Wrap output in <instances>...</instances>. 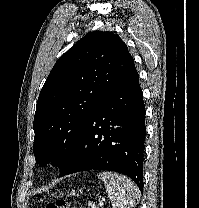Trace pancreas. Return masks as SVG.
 <instances>
[{
    "label": "pancreas",
    "instance_id": "obj_1",
    "mask_svg": "<svg viewBox=\"0 0 199 208\" xmlns=\"http://www.w3.org/2000/svg\"><path fill=\"white\" fill-rule=\"evenodd\" d=\"M91 208H99L98 206L92 204Z\"/></svg>",
    "mask_w": 199,
    "mask_h": 208
}]
</instances>
